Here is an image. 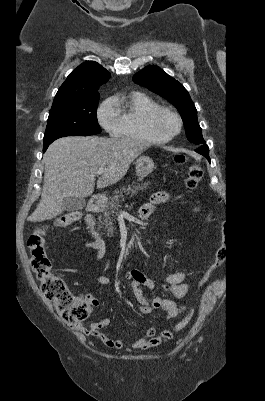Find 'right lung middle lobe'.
I'll use <instances>...</instances> for the list:
<instances>
[{"instance_id":"right-lung-middle-lobe-1","label":"right lung middle lobe","mask_w":265,"mask_h":401,"mask_svg":"<svg viewBox=\"0 0 265 401\" xmlns=\"http://www.w3.org/2000/svg\"><path fill=\"white\" fill-rule=\"evenodd\" d=\"M98 102L99 95H96L52 106L44 134V144H51L64 136L99 134L101 128L96 117Z\"/></svg>"}]
</instances>
